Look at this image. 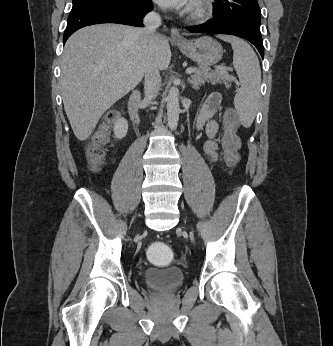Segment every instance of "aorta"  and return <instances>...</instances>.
<instances>
[{
    "mask_svg": "<svg viewBox=\"0 0 333 346\" xmlns=\"http://www.w3.org/2000/svg\"><path fill=\"white\" fill-rule=\"evenodd\" d=\"M167 120L171 130H175L179 121V90L177 87H172L167 96Z\"/></svg>",
    "mask_w": 333,
    "mask_h": 346,
    "instance_id": "aorta-1",
    "label": "aorta"
}]
</instances>
